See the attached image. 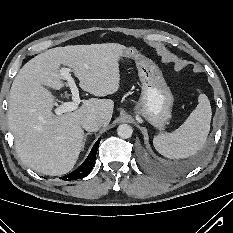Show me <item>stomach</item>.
Instances as JSON below:
<instances>
[{
  "instance_id": "1",
  "label": "stomach",
  "mask_w": 233,
  "mask_h": 233,
  "mask_svg": "<svg viewBox=\"0 0 233 233\" xmlns=\"http://www.w3.org/2000/svg\"><path fill=\"white\" fill-rule=\"evenodd\" d=\"M120 59H132L138 69L142 92L134 111L151 125L162 128L171 118L173 96L159 67L135 47H125Z\"/></svg>"
}]
</instances>
